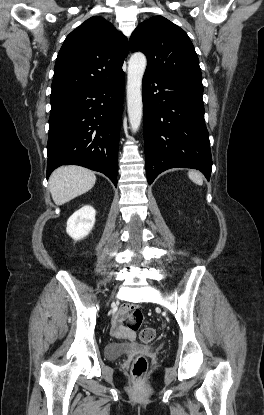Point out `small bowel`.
<instances>
[{"mask_svg": "<svg viewBox=\"0 0 264 415\" xmlns=\"http://www.w3.org/2000/svg\"><path fill=\"white\" fill-rule=\"evenodd\" d=\"M130 309L127 306L121 307L111 318V336L116 339H132L134 336L133 330L126 328L123 322L129 313Z\"/></svg>", "mask_w": 264, "mask_h": 415, "instance_id": "small-bowel-1", "label": "small bowel"}]
</instances>
